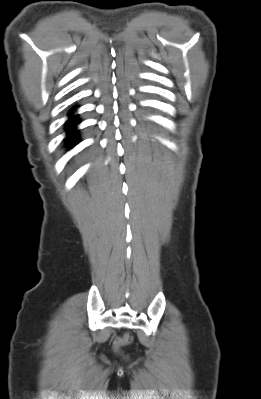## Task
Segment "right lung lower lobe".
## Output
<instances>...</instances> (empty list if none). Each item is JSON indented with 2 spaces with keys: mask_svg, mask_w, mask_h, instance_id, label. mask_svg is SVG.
<instances>
[{
  "mask_svg": "<svg viewBox=\"0 0 261 399\" xmlns=\"http://www.w3.org/2000/svg\"><path fill=\"white\" fill-rule=\"evenodd\" d=\"M73 112L69 113V115ZM78 124L77 116H72L67 122H66V130L69 133V137H71V141L69 142V145H71L70 148H72L74 145L77 144V136H76V131H74V127Z\"/></svg>",
  "mask_w": 261,
  "mask_h": 399,
  "instance_id": "1",
  "label": "right lung lower lobe"
}]
</instances>
